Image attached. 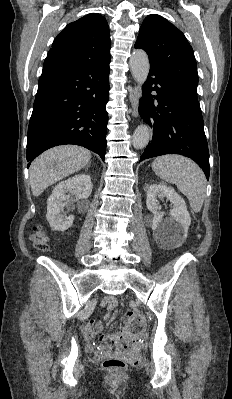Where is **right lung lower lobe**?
Wrapping results in <instances>:
<instances>
[{
  "mask_svg": "<svg viewBox=\"0 0 232 399\" xmlns=\"http://www.w3.org/2000/svg\"><path fill=\"white\" fill-rule=\"evenodd\" d=\"M110 59L69 67H43L28 128L27 161L62 144L105 158Z\"/></svg>",
  "mask_w": 232,
  "mask_h": 399,
  "instance_id": "obj_1",
  "label": "right lung lower lobe"
}]
</instances>
